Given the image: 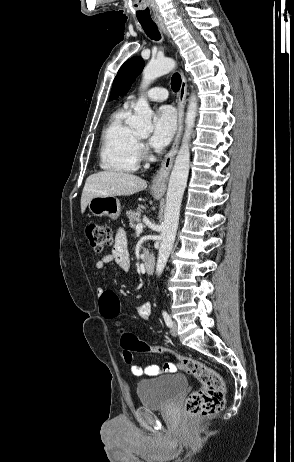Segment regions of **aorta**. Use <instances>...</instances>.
Masks as SVG:
<instances>
[{
  "label": "aorta",
  "mask_w": 294,
  "mask_h": 462,
  "mask_svg": "<svg viewBox=\"0 0 294 462\" xmlns=\"http://www.w3.org/2000/svg\"><path fill=\"white\" fill-rule=\"evenodd\" d=\"M176 63L171 58H158L151 60L143 70L141 88L144 90L156 78L172 71ZM134 115L129 121L130 127L141 134H149L153 131L152 110L147 100L142 96L134 106ZM197 113V99L191 94L186 113L185 133L181 147L176 156L174 166L169 178L166 194V207L164 221L162 223L161 242L156 264V274L160 276L166 266L175 241L182 198L187 184L190 165V139Z\"/></svg>",
  "instance_id": "aorta-1"
}]
</instances>
